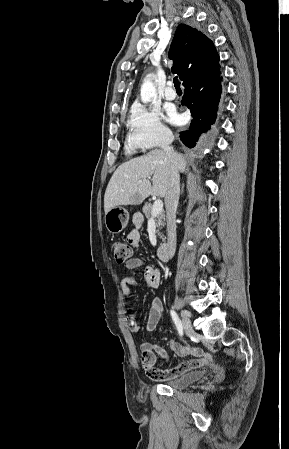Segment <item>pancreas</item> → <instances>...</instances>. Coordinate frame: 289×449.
<instances>
[{
    "label": "pancreas",
    "instance_id": "pancreas-1",
    "mask_svg": "<svg viewBox=\"0 0 289 449\" xmlns=\"http://www.w3.org/2000/svg\"><path fill=\"white\" fill-rule=\"evenodd\" d=\"M143 213L145 214V217L147 219H151L153 216L151 214L152 211V205L150 203H147L143 206L142 208ZM155 220H156V233L160 236V238L164 241V237L163 234L160 233V230L162 229V227H164L165 225V214L164 211L160 212L159 214H157L155 216Z\"/></svg>",
    "mask_w": 289,
    "mask_h": 449
}]
</instances>
